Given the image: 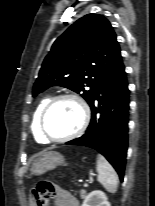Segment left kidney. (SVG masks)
Masks as SVG:
<instances>
[{"instance_id":"5707ae66","label":"left kidney","mask_w":155,"mask_h":206,"mask_svg":"<svg viewBox=\"0 0 155 206\" xmlns=\"http://www.w3.org/2000/svg\"><path fill=\"white\" fill-rule=\"evenodd\" d=\"M82 206H110V203L104 192L94 190L86 196Z\"/></svg>"}]
</instances>
